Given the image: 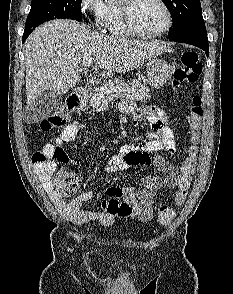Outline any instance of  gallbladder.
I'll return each mask as SVG.
<instances>
[{"label": "gallbladder", "mask_w": 233, "mask_h": 294, "mask_svg": "<svg viewBox=\"0 0 233 294\" xmlns=\"http://www.w3.org/2000/svg\"><path fill=\"white\" fill-rule=\"evenodd\" d=\"M59 99L60 95H57L51 90L43 92L34 102V105L30 110L32 119L29 120L38 122L48 117L54 110Z\"/></svg>", "instance_id": "gallbladder-1"}]
</instances>
